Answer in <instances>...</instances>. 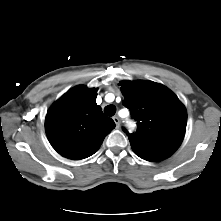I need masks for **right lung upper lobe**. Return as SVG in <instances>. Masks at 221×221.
Masks as SVG:
<instances>
[{"label":"right lung upper lobe","mask_w":221,"mask_h":221,"mask_svg":"<svg viewBox=\"0 0 221 221\" xmlns=\"http://www.w3.org/2000/svg\"><path fill=\"white\" fill-rule=\"evenodd\" d=\"M97 89L76 86L47 112L45 130L52 147L62 156L80 160L94 154L115 128L96 104Z\"/></svg>","instance_id":"1"}]
</instances>
